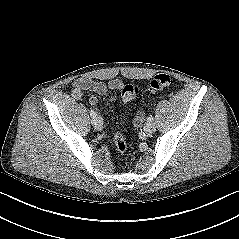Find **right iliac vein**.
I'll return each instance as SVG.
<instances>
[{
    "instance_id": "obj_1",
    "label": "right iliac vein",
    "mask_w": 239,
    "mask_h": 239,
    "mask_svg": "<svg viewBox=\"0 0 239 239\" xmlns=\"http://www.w3.org/2000/svg\"><path fill=\"white\" fill-rule=\"evenodd\" d=\"M92 125L96 130H101L103 128V120L100 116L92 119Z\"/></svg>"
}]
</instances>
